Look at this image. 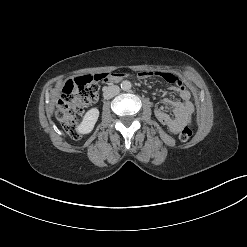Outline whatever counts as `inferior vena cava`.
Instances as JSON below:
<instances>
[{
    "instance_id": "inferior-vena-cava-1",
    "label": "inferior vena cava",
    "mask_w": 247,
    "mask_h": 247,
    "mask_svg": "<svg viewBox=\"0 0 247 247\" xmlns=\"http://www.w3.org/2000/svg\"><path fill=\"white\" fill-rule=\"evenodd\" d=\"M119 92H120V88L117 85L104 87V89H103V97L105 99H111L114 96H116Z\"/></svg>"
}]
</instances>
